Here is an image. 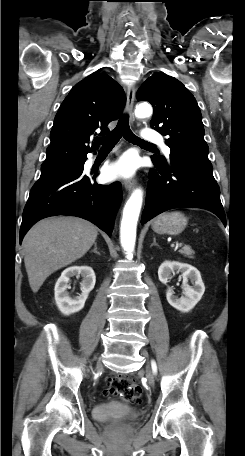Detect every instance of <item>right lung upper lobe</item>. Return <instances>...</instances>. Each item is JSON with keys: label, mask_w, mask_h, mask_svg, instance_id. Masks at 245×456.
I'll return each mask as SVG.
<instances>
[{"label": "right lung upper lobe", "mask_w": 245, "mask_h": 456, "mask_svg": "<svg viewBox=\"0 0 245 456\" xmlns=\"http://www.w3.org/2000/svg\"><path fill=\"white\" fill-rule=\"evenodd\" d=\"M126 96L110 76L95 72L76 84L62 102L50 133L51 144L41 169L52 168L86 158L90 137L97 128L101 135L107 125L119 118Z\"/></svg>", "instance_id": "right-lung-upper-lobe-1"}]
</instances>
